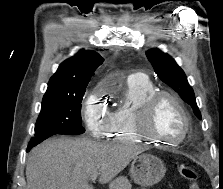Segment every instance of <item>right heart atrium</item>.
<instances>
[{"instance_id": "d8ad5b80", "label": "right heart atrium", "mask_w": 223, "mask_h": 189, "mask_svg": "<svg viewBox=\"0 0 223 189\" xmlns=\"http://www.w3.org/2000/svg\"><path fill=\"white\" fill-rule=\"evenodd\" d=\"M101 88H95L83 104V118L87 129L96 138L106 134L110 113L104 105Z\"/></svg>"}]
</instances>
